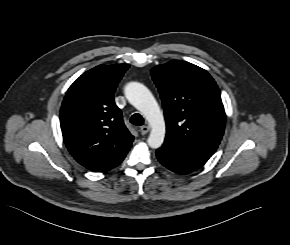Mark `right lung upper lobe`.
Segmentation results:
<instances>
[{
    "mask_svg": "<svg viewBox=\"0 0 290 245\" xmlns=\"http://www.w3.org/2000/svg\"><path fill=\"white\" fill-rule=\"evenodd\" d=\"M128 64L99 65L68 89L60 110L64 142L75 160L95 172L119 165L134 137L124 125L114 92Z\"/></svg>",
    "mask_w": 290,
    "mask_h": 245,
    "instance_id": "obj_1",
    "label": "right lung upper lobe"
}]
</instances>
